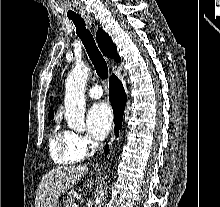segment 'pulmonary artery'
<instances>
[{
    "instance_id": "pulmonary-artery-1",
    "label": "pulmonary artery",
    "mask_w": 220,
    "mask_h": 207,
    "mask_svg": "<svg viewBox=\"0 0 220 207\" xmlns=\"http://www.w3.org/2000/svg\"><path fill=\"white\" fill-rule=\"evenodd\" d=\"M103 89L99 85H94L88 90V96L92 99H98L102 97Z\"/></svg>"
}]
</instances>
